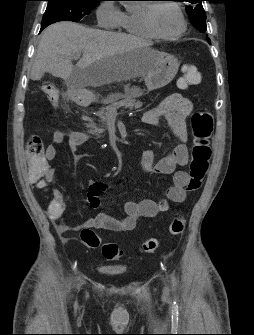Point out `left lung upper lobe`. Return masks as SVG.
Here are the masks:
<instances>
[{"instance_id": "5c2ea615", "label": "left lung upper lobe", "mask_w": 254, "mask_h": 335, "mask_svg": "<svg viewBox=\"0 0 254 335\" xmlns=\"http://www.w3.org/2000/svg\"><path fill=\"white\" fill-rule=\"evenodd\" d=\"M190 3V7L186 8L192 24L201 32L205 33L206 27V15L202 6L203 0H182Z\"/></svg>"}]
</instances>
